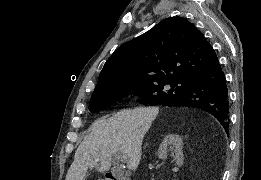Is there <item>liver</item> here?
Returning a JSON list of instances; mask_svg holds the SVG:
<instances>
[{"label": "liver", "instance_id": "liver-1", "mask_svg": "<svg viewBox=\"0 0 261 180\" xmlns=\"http://www.w3.org/2000/svg\"><path fill=\"white\" fill-rule=\"evenodd\" d=\"M157 114L158 108H135L96 120L75 152L68 180H84L90 170L109 172L118 154H126L127 168L136 170L142 156L143 138Z\"/></svg>", "mask_w": 261, "mask_h": 180}]
</instances>
